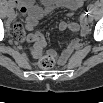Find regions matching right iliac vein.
I'll return each instance as SVG.
<instances>
[{
    "label": "right iliac vein",
    "instance_id": "63e3f726",
    "mask_svg": "<svg viewBox=\"0 0 103 103\" xmlns=\"http://www.w3.org/2000/svg\"><path fill=\"white\" fill-rule=\"evenodd\" d=\"M8 17L14 18V11L13 10L8 11Z\"/></svg>",
    "mask_w": 103,
    "mask_h": 103
}]
</instances>
